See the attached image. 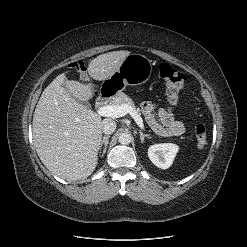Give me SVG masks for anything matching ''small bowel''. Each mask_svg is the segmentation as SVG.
Returning a JSON list of instances; mask_svg holds the SVG:
<instances>
[{"label":"small bowel","instance_id":"obj_1","mask_svg":"<svg viewBox=\"0 0 247 247\" xmlns=\"http://www.w3.org/2000/svg\"><path fill=\"white\" fill-rule=\"evenodd\" d=\"M142 112L148 125L159 136H179L184 132V124L169 106L157 107L151 101L142 104Z\"/></svg>","mask_w":247,"mask_h":247}]
</instances>
